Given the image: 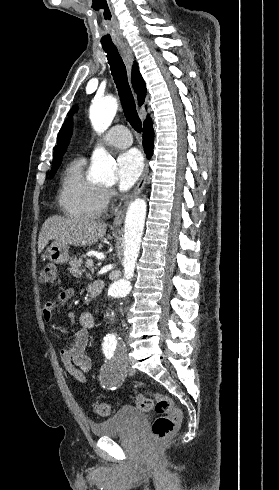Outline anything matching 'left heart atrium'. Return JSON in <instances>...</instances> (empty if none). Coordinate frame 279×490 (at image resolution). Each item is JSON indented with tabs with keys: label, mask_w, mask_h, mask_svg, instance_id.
Masks as SVG:
<instances>
[{
	"label": "left heart atrium",
	"mask_w": 279,
	"mask_h": 490,
	"mask_svg": "<svg viewBox=\"0 0 279 490\" xmlns=\"http://www.w3.org/2000/svg\"><path fill=\"white\" fill-rule=\"evenodd\" d=\"M144 167L141 154L137 150L122 153L117 159V183L121 191H127L140 178Z\"/></svg>",
	"instance_id": "left-heart-atrium-1"
}]
</instances>
